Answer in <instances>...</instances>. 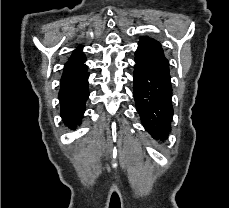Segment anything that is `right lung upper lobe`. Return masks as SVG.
Returning a JSON list of instances; mask_svg holds the SVG:
<instances>
[{
	"label": "right lung upper lobe",
	"mask_w": 229,
	"mask_h": 208,
	"mask_svg": "<svg viewBox=\"0 0 229 208\" xmlns=\"http://www.w3.org/2000/svg\"><path fill=\"white\" fill-rule=\"evenodd\" d=\"M81 48L82 47L79 46L78 49L74 50L68 62L65 64L61 82L81 74L87 68L84 64L85 56L81 52Z\"/></svg>",
	"instance_id": "right-lung-upper-lobe-1"
}]
</instances>
